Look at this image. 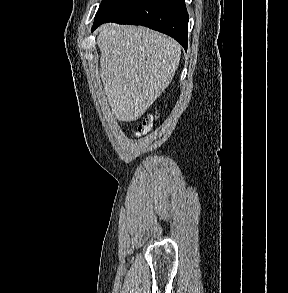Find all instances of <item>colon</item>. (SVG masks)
Listing matches in <instances>:
<instances>
[{
	"label": "colon",
	"instance_id": "obj_1",
	"mask_svg": "<svg viewBox=\"0 0 288 293\" xmlns=\"http://www.w3.org/2000/svg\"><path fill=\"white\" fill-rule=\"evenodd\" d=\"M155 119L156 118L153 115H148L145 118H143L135 134L139 136V135L147 133L153 126Z\"/></svg>",
	"mask_w": 288,
	"mask_h": 293
}]
</instances>
